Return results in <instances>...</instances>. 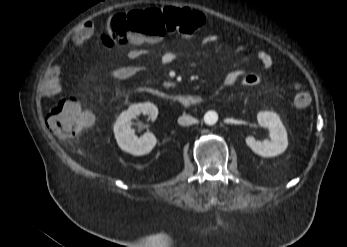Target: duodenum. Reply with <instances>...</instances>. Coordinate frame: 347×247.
<instances>
[{"label": "duodenum", "instance_id": "obj_1", "mask_svg": "<svg viewBox=\"0 0 347 247\" xmlns=\"http://www.w3.org/2000/svg\"><path fill=\"white\" fill-rule=\"evenodd\" d=\"M151 94L162 99L171 100L183 107L197 106L202 102V97L196 94L170 95L159 90H155Z\"/></svg>", "mask_w": 347, "mask_h": 247}]
</instances>
